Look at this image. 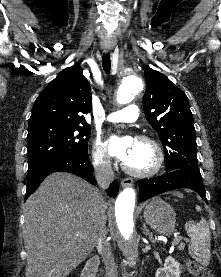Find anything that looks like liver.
Segmentation results:
<instances>
[{"label": "liver", "mask_w": 221, "mask_h": 277, "mask_svg": "<svg viewBox=\"0 0 221 277\" xmlns=\"http://www.w3.org/2000/svg\"><path fill=\"white\" fill-rule=\"evenodd\" d=\"M100 201L97 188L69 173L42 182L25 204L26 277H67L90 255Z\"/></svg>", "instance_id": "liver-1"}]
</instances>
